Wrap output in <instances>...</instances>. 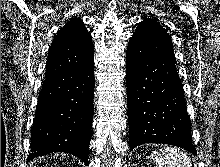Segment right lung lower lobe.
<instances>
[{
  "label": "right lung lower lobe",
  "mask_w": 220,
  "mask_h": 167,
  "mask_svg": "<svg viewBox=\"0 0 220 167\" xmlns=\"http://www.w3.org/2000/svg\"><path fill=\"white\" fill-rule=\"evenodd\" d=\"M94 62L80 70L46 77L38 98L27 161L70 153L88 165L93 119Z\"/></svg>",
  "instance_id": "right-lung-lower-lobe-1"
}]
</instances>
